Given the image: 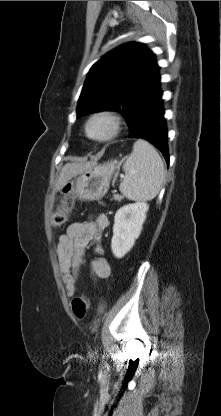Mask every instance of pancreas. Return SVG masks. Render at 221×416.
<instances>
[{"label":"pancreas","mask_w":221,"mask_h":416,"mask_svg":"<svg viewBox=\"0 0 221 416\" xmlns=\"http://www.w3.org/2000/svg\"><path fill=\"white\" fill-rule=\"evenodd\" d=\"M122 198H123V197H122L121 195L114 194L112 199H113V200H115V201H121V200H122Z\"/></svg>","instance_id":"pancreas-1"}]
</instances>
